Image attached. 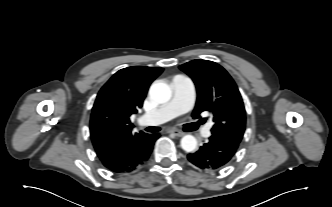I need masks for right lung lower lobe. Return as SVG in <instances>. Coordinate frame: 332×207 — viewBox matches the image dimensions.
<instances>
[{"label":"right lung lower lobe","instance_id":"1","mask_svg":"<svg viewBox=\"0 0 332 207\" xmlns=\"http://www.w3.org/2000/svg\"><path fill=\"white\" fill-rule=\"evenodd\" d=\"M159 134H144L133 140L124 150L100 159L114 173H129L143 164L150 156Z\"/></svg>","mask_w":332,"mask_h":207}]
</instances>
